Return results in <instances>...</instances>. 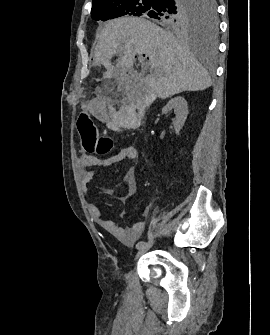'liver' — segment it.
Instances as JSON below:
<instances>
[{
  "label": "liver",
  "instance_id": "obj_1",
  "mask_svg": "<svg viewBox=\"0 0 270 335\" xmlns=\"http://www.w3.org/2000/svg\"><path fill=\"white\" fill-rule=\"evenodd\" d=\"M115 54L119 58L114 68L110 60ZM137 54H145L152 64L150 76L139 80L149 100H165L186 90H206L212 84L207 70L186 44L145 18L123 16L111 20L100 34L94 56L97 64L114 74H124L132 70Z\"/></svg>",
  "mask_w": 270,
  "mask_h": 335
}]
</instances>
